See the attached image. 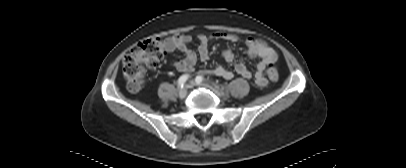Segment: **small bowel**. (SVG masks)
<instances>
[{
    "label": "small bowel",
    "instance_id": "small-bowel-1",
    "mask_svg": "<svg viewBox=\"0 0 406 168\" xmlns=\"http://www.w3.org/2000/svg\"><path fill=\"white\" fill-rule=\"evenodd\" d=\"M198 39L200 42L198 51L203 60L209 58V43L212 39L225 40L231 44H235L239 40L237 35L225 32H218L211 36L199 34ZM191 40L192 37L189 34L174 35L165 39L164 46L167 52L172 53L174 51H179L185 55L183 59L176 60L173 63V66L179 72H190L194 69L196 64V53L188 46ZM246 45L248 48V55L251 58H259V61L256 63V71L253 74L241 60L236 61L235 71L245 79H251L253 77L255 85L263 88L268 83V67L276 62L277 54L267 42L259 38L249 37L246 40ZM222 57L226 63H232L235 60L234 54L229 49L223 51ZM203 73L222 77L226 80H230L233 77V73L222 66L206 70Z\"/></svg>",
    "mask_w": 406,
    "mask_h": 168
}]
</instances>
